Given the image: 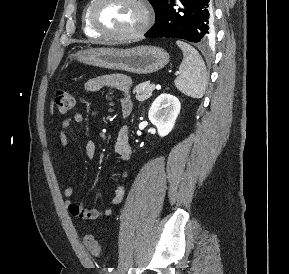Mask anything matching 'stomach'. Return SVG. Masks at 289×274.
I'll return each instance as SVG.
<instances>
[{
  "mask_svg": "<svg viewBox=\"0 0 289 274\" xmlns=\"http://www.w3.org/2000/svg\"><path fill=\"white\" fill-rule=\"evenodd\" d=\"M75 60L107 69L150 74L168 64L169 54L164 49L155 46H138L130 49L95 48L70 53L66 64Z\"/></svg>",
  "mask_w": 289,
  "mask_h": 274,
  "instance_id": "0dacf381",
  "label": "stomach"
}]
</instances>
